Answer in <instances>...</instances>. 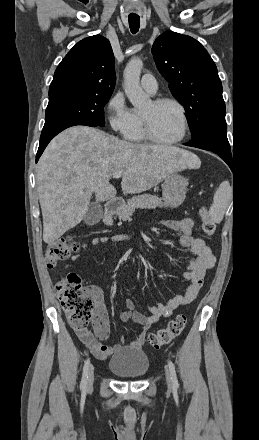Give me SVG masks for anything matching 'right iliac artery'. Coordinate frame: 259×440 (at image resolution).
<instances>
[{
	"label": "right iliac artery",
	"mask_w": 259,
	"mask_h": 440,
	"mask_svg": "<svg viewBox=\"0 0 259 440\" xmlns=\"http://www.w3.org/2000/svg\"><path fill=\"white\" fill-rule=\"evenodd\" d=\"M89 366H90V360L87 359L84 364L83 375H82V380H81V384H80V388L83 392H85V390H86Z\"/></svg>",
	"instance_id": "right-iliac-artery-1"
}]
</instances>
